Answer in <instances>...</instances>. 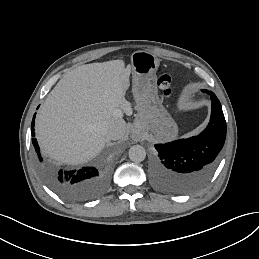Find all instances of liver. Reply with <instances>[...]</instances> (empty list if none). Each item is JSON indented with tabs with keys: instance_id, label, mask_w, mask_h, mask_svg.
Listing matches in <instances>:
<instances>
[{
	"instance_id": "obj_1",
	"label": "liver",
	"mask_w": 259,
	"mask_h": 259,
	"mask_svg": "<svg viewBox=\"0 0 259 259\" xmlns=\"http://www.w3.org/2000/svg\"><path fill=\"white\" fill-rule=\"evenodd\" d=\"M129 75L123 60L86 64L64 74L35 119L42 153L69 165L97 156L107 141L100 124L132 113L125 99Z\"/></svg>"
}]
</instances>
